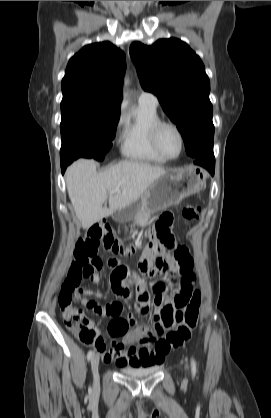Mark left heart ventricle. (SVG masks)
I'll return each mask as SVG.
<instances>
[{
  "label": "left heart ventricle",
  "instance_id": "obj_1",
  "mask_svg": "<svg viewBox=\"0 0 271 418\" xmlns=\"http://www.w3.org/2000/svg\"><path fill=\"white\" fill-rule=\"evenodd\" d=\"M160 145L169 156H175L179 152L180 143L176 132L171 128H164L160 133Z\"/></svg>",
  "mask_w": 271,
  "mask_h": 418
}]
</instances>
